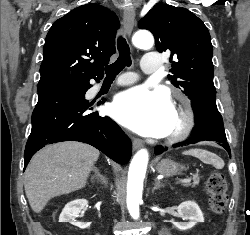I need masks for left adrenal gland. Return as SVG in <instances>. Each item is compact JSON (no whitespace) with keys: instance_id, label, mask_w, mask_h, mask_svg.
Returning a JSON list of instances; mask_svg holds the SVG:
<instances>
[{"instance_id":"obj_1","label":"left adrenal gland","mask_w":250,"mask_h":235,"mask_svg":"<svg viewBox=\"0 0 250 235\" xmlns=\"http://www.w3.org/2000/svg\"><path fill=\"white\" fill-rule=\"evenodd\" d=\"M163 186H164V185L161 184L159 180L155 179V185H154V187H153V189H152V193H154L155 190H157V189H159V188H161V187H163Z\"/></svg>"}]
</instances>
